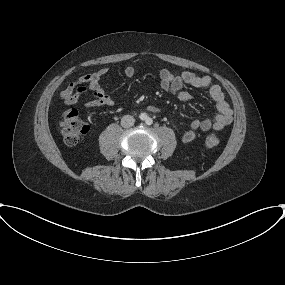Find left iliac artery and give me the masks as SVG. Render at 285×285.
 I'll list each match as a JSON object with an SVG mask.
<instances>
[{
	"label": "left iliac artery",
	"instance_id": "44dca946",
	"mask_svg": "<svg viewBox=\"0 0 285 285\" xmlns=\"http://www.w3.org/2000/svg\"><path fill=\"white\" fill-rule=\"evenodd\" d=\"M152 119L151 118H148L147 120H146V123L148 124V125H151L152 124Z\"/></svg>",
	"mask_w": 285,
	"mask_h": 285
}]
</instances>
